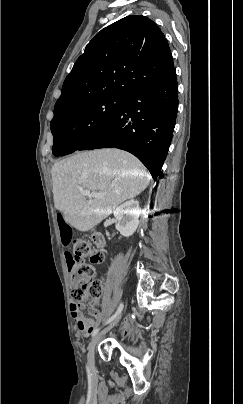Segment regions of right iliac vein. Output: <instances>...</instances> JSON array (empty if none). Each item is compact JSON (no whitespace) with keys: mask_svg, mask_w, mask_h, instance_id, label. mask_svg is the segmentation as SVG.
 <instances>
[{"mask_svg":"<svg viewBox=\"0 0 243 404\" xmlns=\"http://www.w3.org/2000/svg\"><path fill=\"white\" fill-rule=\"evenodd\" d=\"M121 314L112 322L110 323L104 330H102L100 333H98L97 335H95L93 337V339L91 340V342L89 343L88 346V353H87V360H88V364H89V368L91 370L94 369V355H95V347L98 344V342L100 341V339L102 338V336H104L108 331H110L121 319Z\"/></svg>","mask_w":243,"mask_h":404,"instance_id":"right-iliac-vein-1","label":"right iliac vein"}]
</instances>
